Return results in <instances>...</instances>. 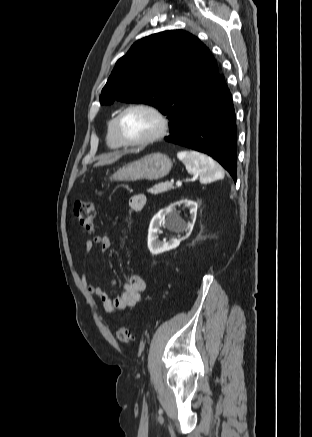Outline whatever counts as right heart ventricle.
Listing matches in <instances>:
<instances>
[{
	"instance_id": "right-heart-ventricle-1",
	"label": "right heart ventricle",
	"mask_w": 312,
	"mask_h": 437,
	"mask_svg": "<svg viewBox=\"0 0 312 437\" xmlns=\"http://www.w3.org/2000/svg\"><path fill=\"white\" fill-rule=\"evenodd\" d=\"M115 119L116 116L112 117L107 126V134H106V141L109 147L113 149H119L126 145L122 143V141L119 139L116 130H115Z\"/></svg>"
}]
</instances>
